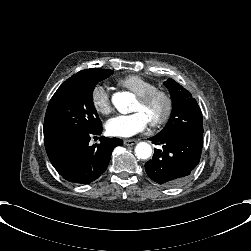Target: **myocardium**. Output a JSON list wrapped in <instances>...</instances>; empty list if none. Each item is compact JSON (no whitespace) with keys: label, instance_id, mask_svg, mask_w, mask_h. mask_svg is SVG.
I'll use <instances>...</instances> for the list:
<instances>
[{"label":"myocardium","instance_id":"myocardium-1","mask_svg":"<svg viewBox=\"0 0 251 251\" xmlns=\"http://www.w3.org/2000/svg\"><path fill=\"white\" fill-rule=\"evenodd\" d=\"M157 97H162L165 101V110L160 116L151 118V123L153 125H160L165 123L172 115L174 108V99L172 95L164 89L155 88L147 93L141 94L139 95V100H141L145 104H150Z\"/></svg>","mask_w":251,"mask_h":251}]
</instances>
